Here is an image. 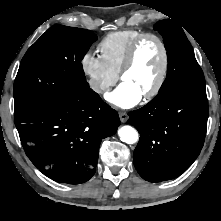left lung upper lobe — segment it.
I'll return each mask as SVG.
<instances>
[{
    "label": "left lung upper lobe",
    "mask_w": 221,
    "mask_h": 221,
    "mask_svg": "<svg viewBox=\"0 0 221 221\" xmlns=\"http://www.w3.org/2000/svg\"><path fill=\"white\" fill-rule=\"evenodd\" d=\"M154 29L163 36L168 57L167 76L159 93L169 88L206 92L202 69L182 28L172 20H162Z\"/></svg>",
    "instance_id": "left-lung-upper-lobe-1"
}]
</instances>
